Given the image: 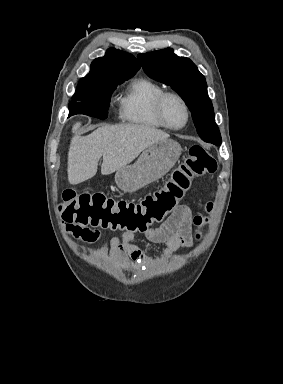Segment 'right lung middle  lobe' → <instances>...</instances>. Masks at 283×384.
Instances as JSON below:
<instances>
[{
	"mask_svg": "<svg viewBox=\"0 0 283 384\" xmlns=\"http://www.w3.org/2000/svg\"><path fill=\"white\" fill-rule=\"evenodd\" d=\"M118 83H108L99 86L76 89L72 100L69 103V116L85 114L99 119H106L110 99Z\"/></svg>",
	"mask_w": 283,
	"mask_h": 384,
	"instance_id": "1",
	"label": "right lung middle lobe"
}]
</instances>
